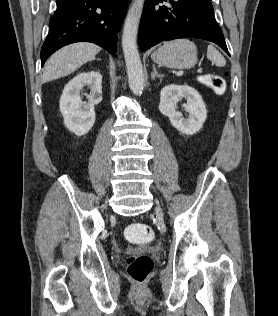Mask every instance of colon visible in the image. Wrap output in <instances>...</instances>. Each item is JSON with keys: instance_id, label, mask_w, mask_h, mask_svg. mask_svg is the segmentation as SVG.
Segmentation results:
<instances>
[{"instance_id": "colon-1", "label": "colon", "mask_w": 278, "mask_h": 316, "mask_svg": "<svg viewBox=\"0 0 278 316\" xmlns=\"http://www.w3.org/2000/svg\"><path fill=\"white\" fill-rule=\"evenodd\" d=\"M200 82L212 89L217 95H222L226 90V81L217 74H205ZM125 237L132 243L149 244L154 239L151 227L142 223H132L125 229ZM129 277L138 285L144 284L151 275L154 263L150 256L145 254L131 255L125 259Z\"/></svg>"}]
</instances>
